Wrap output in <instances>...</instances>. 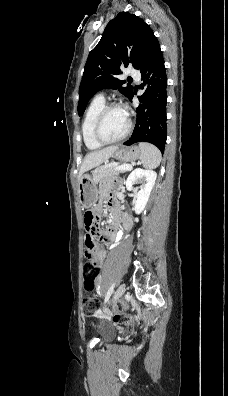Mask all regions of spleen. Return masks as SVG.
<instances>
[{
    "mask_svg": "<svg viewBox=\"0 0 228 396\" xmlns=\"http://www.w3.org/2000/svg\"><path fill=\"white\" fill-rule=\"evenodd\" d=\"M139 148L141 150L140 160L142 165L148 169L157 168L162 158L158 148L146 142H140Z\"/></svg>",
    "mask_w": 228,
    "mask_h": 396,
    "instance_id": "obj_1",
    "label": "spleen"
}]
</instances>
